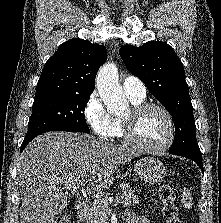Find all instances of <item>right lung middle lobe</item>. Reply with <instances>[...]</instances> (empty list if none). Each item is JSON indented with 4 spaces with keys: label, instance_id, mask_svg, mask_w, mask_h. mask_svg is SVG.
Here are the masks:
<instances>
[{
    "label": "right lung middle lobe",
    "instance_id": "dd1d6c3e",
    "mask_svg": "<svg viewBox=\"0 0 221 223\" xmlns=\"http://www.w3.org/2000/svg\"><path fill=\"white\" fill-rule=\"evenodd\" d=\"M90 94L50 96L34 100L26 137L49 131L89 133L84 110Z\"/></svg>",
    "mask_w": 221,
    "mask_h": 223
}]
</instances>
